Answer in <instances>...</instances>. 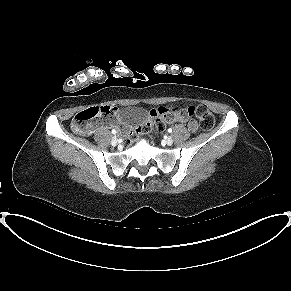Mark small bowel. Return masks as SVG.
Listing matches in <instances>:
<instances>
[{"label":"small bowel","mask_w":291,"mask_h":291,"mask_svg":"<svg viewBox=\"0 0 291 291\" xmlns=\"http://www.w3.org/2000/svg\"><path fill=\"white\" fill-rule=\"evenodd\" d=\"M158 112V110H150L148 112V116L154 115ZM174 121L187 123L188 129L191 132H196L198 130V124L195 120L191 119V115H188L187 109H181L173 118ZM127 131V129H124Z\"/></svg>","instance_id":"c3829d8e"}]
</instances>
